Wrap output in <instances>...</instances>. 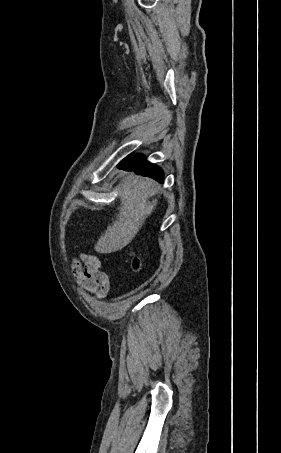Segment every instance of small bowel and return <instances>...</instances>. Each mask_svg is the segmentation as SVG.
Wrapping results in <instances>:
<instances>
[{"label": "small bowel", "instance_id": "obj_1", "mask_svg": "<svg viewBox=\"0 0 281 453\" xmlns=\"http://www.w3.org/2000/svg\"><path fill=\"white\" fill-rule=\"evenodd\" d=\"M73 271L77 280L91 293L106 297L112 288V277L100 269L95 255L79 256L73 259Z\"/></svg>", "mask_w": 281, "mask_h": 453}]
</instances>
